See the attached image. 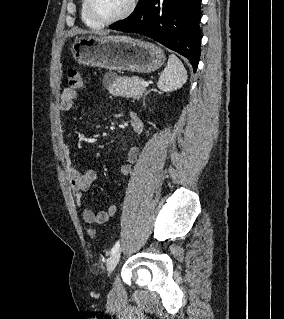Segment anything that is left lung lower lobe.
I'll list each match as a JSON object with an SVG mask.
<instances>
[{
    "instance_id": "obj_1",
    "label": "left lung lower lobe",
    "mask_w": 284,
    "mask_h": 319,
    "mask_svg": "<svg viewBox=\"0 0 284 319\" xmlns=\"http://www.w3.org/2000/svg\"><path fill=\"white\" fill-rule=\"evenodd\" d=\"M200 3L201 0H140L128 18L110 28L158 41L185 56L195 72L200 58Z\"/></svg>"
}]
</instances>
